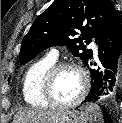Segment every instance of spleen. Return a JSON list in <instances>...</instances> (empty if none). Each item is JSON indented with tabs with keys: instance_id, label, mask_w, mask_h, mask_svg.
<instances>
[{
	"instance_id": "spleen-1",
	"label": "spleen",
	"mask_w": 122,
	"mask_h": 123,
	"mask_svg": "<svg viewBox=\"0 0 122 123\" xmlns=\"http://www.w3.org/2000/svg\"><path fill=\"white\" fill-rule=\"evenodd\" d=\"M81 110L88 116L90 123H103L101 109L97 104H86Z\"/></svg>"
}]
</instances>
